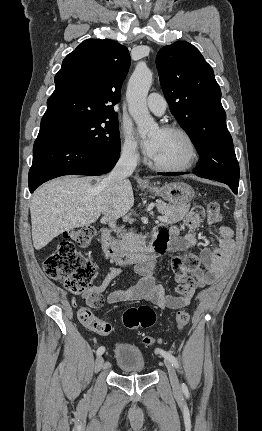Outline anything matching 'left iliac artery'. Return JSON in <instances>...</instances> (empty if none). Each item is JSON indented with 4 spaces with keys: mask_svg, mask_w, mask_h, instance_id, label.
<instances>
[{
    "mask_svg": "<svg viewBox=\"0 0 262 431\" xmlns=\"http://www.w3.org/2000/svg\"><path fill=\"white\" fill-rule=\"evenodd\" d=\"M157 352H159L165 359L170 361L175 368L179 367L178 360L172 354L165 352L163 350H160V349H158ZM183 387H184V385H183Z\"/></svg>",
    "mask_w": 262,
    "mask_h": 431,
    "instance_id": "obj_1",
    "label": "left iliac artery"
}]
</instances>
